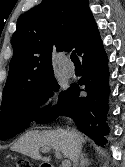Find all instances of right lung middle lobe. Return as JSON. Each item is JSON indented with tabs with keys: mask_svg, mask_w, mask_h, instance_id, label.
<instances>
[{
	"mask_svg": "<svg viewBox=\"0 0 125 167\" xmlns=\"http://www.w3.org/2000/svg\"><path fill=\"white\" fill-rule=\"evenodd\" d=\"M59 85L54 77L38 87L19 96L3 99L0 113V140H6L24 131L31 122L40 118L50 106H39L58 91ZM66 92V91H65ZM65 92L59 94L61 101Z\"/></svg>",
	"mask_w": 125,
	"mask_h": 167,
	"instance_id": "dd1d6c3e",
	"label": "right lung middle lobe"
}]
</instances>
